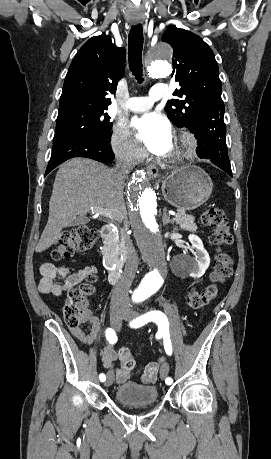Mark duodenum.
I'll return each mask as SVG.
<instances>
[{
  "instance_id": "1",
  "label": "duodenum",
  "mask_w": 271,
  "mask_h": 459,
  "mask_svg": "<svg viewBox=\"0 0 271 459\" xmlns=\"http://www.w3.org/2000/svg\"><path fill=\"white\" fill-rule=\"evenodd\" d=\"M113 235V228L111 225H104L100 229V236L104 240H109ZM120 270L118 268H112L109 272V280L112 284H116L120 280Z\"/></svg>"
}]
</instances>
